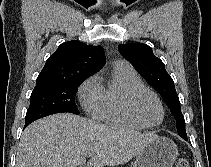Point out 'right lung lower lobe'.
Returning <instances> with one entry per match:
<instances>
[{
    "instance_id": "obj_1",
    "label": "right lung lower lobe",
    "mask_w": 211,
    "mask_h": 167,
    "mask_svg": "<svg viewBox=\"0 0 211 167\" xmlns=\"http://www.w3.org/2000/svg\"><path fill=\"white\" fill-rule=\"evenodd\" d=\"M29 124H25V126H24V128L26 127V126H28Z\"/></svg>"
}]
</instances>
